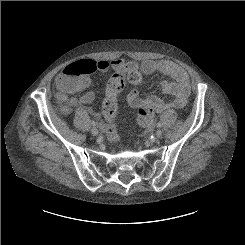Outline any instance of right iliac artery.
I'll return each mask as SVG.
<instances>
[{"instance_id": "1", "label": "right iliac artery", "mask_w": 245, "mask_h": 245, "mask_svg": "<svg viewBox=\"0 0 245 245\" xmlns=\"http://www.w3.org/2000/svg\"><path fill=\"white\" fill-rule=\"evenodd\" d=\"M92 125H93V126H96V123H95L94 121H92Z\"/></svg>"}]
</instances>
